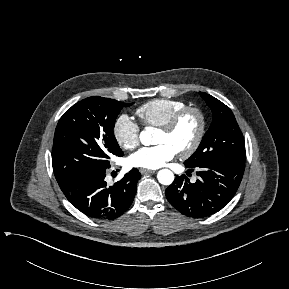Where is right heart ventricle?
<instances>
[{
    "label": "right heart ventricle",
    "instance_id": "1",
    "mask_svg": "<svg viewBox=\"0 0 289 289\" xmlns=\"http://www.w3.org/2000/svg\"><path fill=\"white\" fill-rule=\"evenodd\" d=\"M185 106L181 100L159 98L144 103L136 113L146 126L160 127Z\"/></svg>",
    "mask_w": 289,
    "mask_h": 289
}]
</instances>
